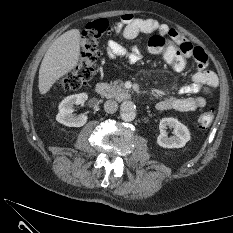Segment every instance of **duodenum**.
<instances>
[{
	"instance_id": "1",
	"label": "duodenum",
	"mask_w": 233,
	"mask_h": 233,
	"mask_svg": "<svg viewBox=\"0 0 233 233\" xmlns=\"http://www.w3.org/2000/svg\"><path fill=\"white\" fill-rule=\"evenodd\" d=\"M95 90H96V93L103 98H111L113 96L112 88L106 83H103V82L97 83ZM121 96L124 99L130 98V95L128 94V92H125V91L121 93Z\"/></svg>"
}]
</instances>
